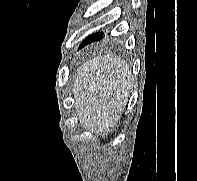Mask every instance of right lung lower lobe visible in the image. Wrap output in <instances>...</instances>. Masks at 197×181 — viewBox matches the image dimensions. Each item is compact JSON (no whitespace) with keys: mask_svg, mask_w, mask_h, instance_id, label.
<instances>
[{"mask_svg":"<svg viewBox=\"0 0 197 181\" xmlns=\"http://www.w3.org/2000/svg\"><path fill=\"white\" fill-rule=\"evenodd\" d=\"M102 37V33H95V34H92L90 36H88L83 42H82V45H85L87 43H91L93 41H96V40H99L101 39Z\"/></svg>","mask_w":197,"mask_h":181,"instance_id":"1","label":"right lung lower lobe"}]
</instances>
